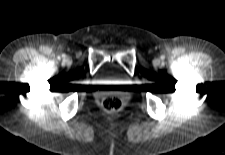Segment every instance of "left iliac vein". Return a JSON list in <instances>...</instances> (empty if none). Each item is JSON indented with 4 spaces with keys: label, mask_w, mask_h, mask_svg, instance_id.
I'll return each instance as SVG.
<instances>
[{
    "label": "left iliac vein",
    "mask_w": 225,
    "mask_h": 155,
    "mask_svg": "<svg viewBox=\"0 0 225 155\" xmlns=\"http://www.w3.org/2000/svg\"><path fill=\"white\" fill-rule=\"evenodd\" d=\"M156 63H159V60H156Z\"/></svg>",
    "instance_id": "1"
}]
</instances>
